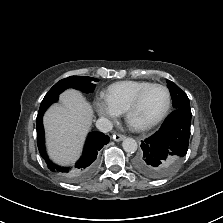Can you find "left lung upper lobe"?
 I'll use <instances>...</instances> for the list:
<instances>
[{"label": "left lung upper lobe", "instance_id": "obj_1", "mask_svg": "<svg viewBox=\"0 0 223 223\" xmlns=\"http://www.w3.org/2000/svg\"><path fill=\"white\" fill-rule=\"evenodd\" d=\"M167 86L172 96V105L174 109L190 111V102L187 95L172 81L167 80Z\"/></svg>", "mask_w": 223, "mask_h": 223}]
</instances>
